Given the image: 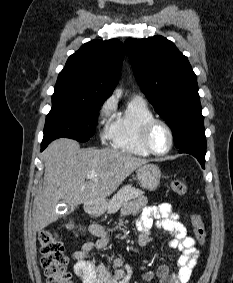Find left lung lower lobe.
Returning <instances> with one entry per match:
<instances>
[{"mask_svg": "<svg viewBox=\"0 0 233 283\" xmlns=\"http://www.w3.org/2000/svg\"><path fill=\"white\" fill-rule=\"evenodd\" d=\"M180 153H188L197 158L201 166L204 168L206 145H189L187 147L181 148Z\"/></svg>", "mask_w": 233, "mask_h": 283, "instance_id": "1", "label": "left lung lower lobe"}]
</instances>
